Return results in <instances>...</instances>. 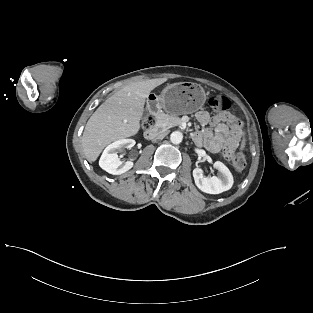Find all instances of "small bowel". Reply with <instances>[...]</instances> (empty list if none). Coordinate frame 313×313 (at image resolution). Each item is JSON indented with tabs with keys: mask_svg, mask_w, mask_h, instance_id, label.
I'll list each match as a JSON object with an SVG mask.
<instances>
[{
	"mask_svg": "<svg viewBox=\"0 0 313 313\" xmlns=\"http://www.w3.org/2000/svg\"><path fill=\"white\" fill-rule=\"evenodd\" d=\"M196 118L203 129L194 133L193 138L196 143L204 145L209 151L218 152L227 146L233 148L245 146L242 123L234 115L225 112L210 116L206 111H199Z\"/></svg>",
	"mask_w": 313,
	"mask_h": 313,
	"instance_id": "obj_1",
	"label": "small bowel"
}]
</instances>
